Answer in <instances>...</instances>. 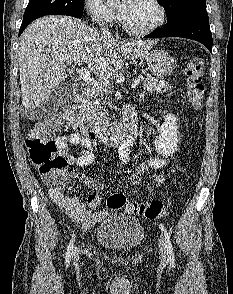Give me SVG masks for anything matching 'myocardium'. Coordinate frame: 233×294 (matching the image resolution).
Here are the masks:
<instances>
[{
    "mask_svg": "<svg viewBox=\"0 0 233 294\" xmlns=\"http://www.w3.org/2000/svg\"><path fill=\"white\" fill-rule=\"evenodd\" d=\"M148 1L155 7L157 11V18L155 22L145 28H134L130 26L125 20L124 16L121 15L122 27L126 32L136 36H143V35H148L153 33L154 31H156L158 28H160L163 25L166 18V10L164 6L160 3L159 0H148Z\"/></svg>",
    "mask_w": 233,
    "mask_h": 294,
    "instance_id": "1",
    "label": "myocardium"
}]
</instances>
